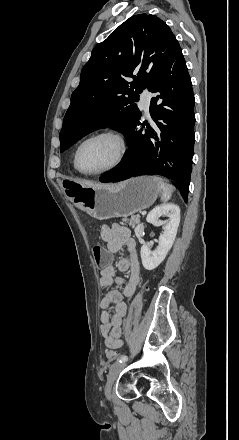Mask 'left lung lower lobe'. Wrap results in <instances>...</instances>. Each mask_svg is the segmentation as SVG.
<instances>
[{"label": "left lung lower lobe", "mask_w": 239, "mask_h": 440, "mask_svg": "<svg viewBox=\"0 0 239 440\" xmlns=\"http://www.w3.org/2000/svg\"><path fill=\"white\" fill-rule=\"evenodd\" d=\"M157 96L151 99L153 122L138 130V121L124 134L128 150L122 164L100 177L101 182H117L133 176L159 174L179 184L188 199L194 148V95L192 83L179 43L148 88ZM145 127V122H143Z\"/></svg>", "instance_id": "obj_1"}]
</instances>
